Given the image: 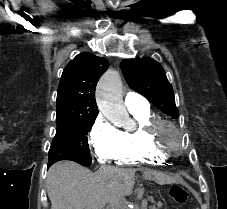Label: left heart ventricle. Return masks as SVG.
Returning <instances> with one entry per match:
<instances>
[{
    "instance_id": "1",
    "label": "left heart ventricle",
    "mask_w": 227,
    "mask_h": 209,
    "mask_svg": "<svg viewBox=\"0 0 227 209\" xmlns=\"http://www.w3.org/2000/svg\"><path fill=\"white\" fill-rule=\"evenodd\" d=\"M161 139L165 144H180V139L169 127L162 129Z\"/></svg>"
}]
</instances>
